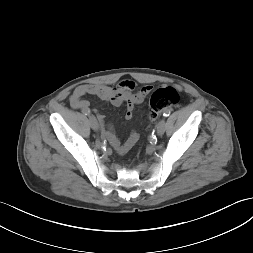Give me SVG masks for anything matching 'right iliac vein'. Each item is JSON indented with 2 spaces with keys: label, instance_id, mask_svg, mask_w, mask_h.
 <instances>
[{
  "label": "right iliac vein",
  "instance_id": "obj_1",
  "mask_svg": "<svg viewBox=\"0 0 253 253\" xmlns=\"http://www.w3.org/2000/svg\"><path fill=\"white\" fill-rule=\"evenodd\" d=\"M89 121H90L91 128L94 131H98L99 125H98L96 118L94 116H90Z\"/></svg>",
  "mask_w": 253,
  "mask_h": 253
}]
</instances>
